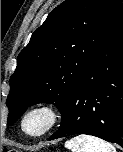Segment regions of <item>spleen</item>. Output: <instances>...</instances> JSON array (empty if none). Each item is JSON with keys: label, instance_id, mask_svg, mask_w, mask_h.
I'll use <instances>...</instances> for the list:
<instances>
[{"label": "spleen", "instance_id": "spleen-1", "mask_svg": "<svg viewBox=\"0 0 123 152\" xmlns=\"http://www.w3.org/2000/svg\"><path fill=\"white\" fill-rule=\"evenodd\" d=\"M71 152H116L110 143L97 137L80 134L65 143Z\"/></svg>", "mask_w": 123, "mask_h": 152}]
</instances>
